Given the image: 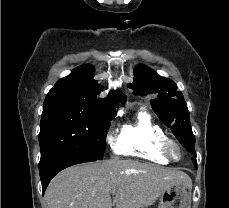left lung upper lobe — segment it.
<instances>
[{
    "instance_id": "left-lung-upper-lobe-1",
    "label": "left lung upper lobe",
    "mask_w": 229,
    "mask_h": 208,
    "mask_svg": "<svg viewBox=\"0 0 229 208\" xmlns=\"http://www.w3.org/2000/svg\"><path fill=\"white\" fill-rule=\"evenodd\" d=\"M134 81L128 84L135 95L157 93V98L150 101L151 107L162 122L171 129L182 146L195 143L191 129L189 111L181 91L168 78L158 76L151 69L139 64L134 69ZM176 96V98H172Z\"/></svg>"
}]
</instances>
